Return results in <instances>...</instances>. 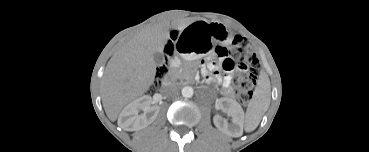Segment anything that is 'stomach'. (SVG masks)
<instances>
[{
    "mask_svg": "<svg viewBox=\"0 0 369 152\" xmlns=\"http://www.w3.org/2000/svg\"><path fill=\"white\" fill-rule=\"evenodd\" d=\"M222 32H223V35L222 37H225L227 35V30L225 28L222 27Z\"/></svg>",
    "mask_w": 369,
    "mask_h": 152,
    "instance_id": "1",
    "label": "stomach"
}]
</instances>
